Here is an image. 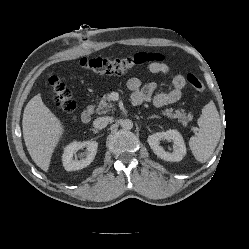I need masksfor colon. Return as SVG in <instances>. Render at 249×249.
<instances>
[{"mask_svg": "<svg viewBox=\"0 0 249 249\" xmlns=\"http://www.w3.org/2000/svg\"><path fill=\"white\" fill-rule=\"evenodd\" d=\"M163 60L164 57L161 54L141 52L125 58H83L79 62V67L97 74H123L144 65L162 63ZM186 79L195 90L205 89V83L195 74H187ZM49 87L58 108L65 116H69L75 109L71 91L56 75L49 78Z\"/></svg>", "mask_w": 249, "mask_h": 249, "instance_id": "1", "label": "colon"}]
</instances>
